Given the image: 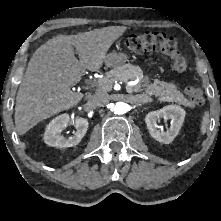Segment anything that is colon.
<instances>
[{
    "mask_svg": "<svg viewBox=\"0 0 221 221\" xmlns=\"http://www.w3.org/2000/svg\"><path fill=\"white\" fill-rule=\"evenodd\" d=\"M127 46L135 53L141 54L147 51H159L171 59V68L178 73H184L187 68V61L178 50L177 41L173 37L158 31H147L132 35L127 40ZM183 92L191 105H202L204 102L203 93L200 88L187 85Z\"/></svg>",
    "mask_w": 221,
    "mask_h": 221,
    "instance_id": "5ec220e1",
    "label": "colon"
}]
</instances>
